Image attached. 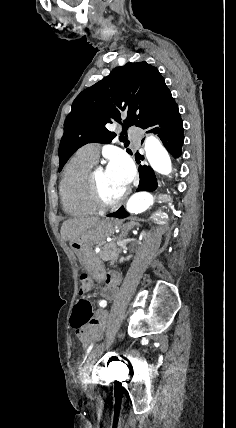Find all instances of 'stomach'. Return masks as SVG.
<instances>
[{
	"label": "stomach",
	"instance_id": "0dacf381",
	"mask_svg": "<svg viewBox=\"0 0 236 428\" xmlns=\"http://www.w3.org/2000/svg\"><path fill=\"white\" fill-rule=\"evenodd\" d=\"M112 232L111 224H108L106 220H101V222H97L95 226H91L86 232H83L75 242H70V248L79 258L82 269H87L88 273H90V280L93 283H104V270L106 268L105 263L101 262L98 256H95L93 246L94 244L105 242L106 238L112 236Z\"/></svg>",
	"mask_w": 236,
	"mask_h": 428
}]
</instances>
